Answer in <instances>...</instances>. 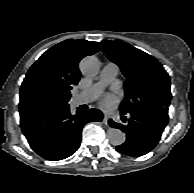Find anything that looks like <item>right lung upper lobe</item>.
<instances>
[{
    "label": "right lung upper lobe",
    "instance_id": "1",
    "mask_svg": "<svg viewBox=\"0 0 194 193\" xmlns=\"http://www.w3.org/2000/svg\"><path fill=\"white\" fill-rule=\"evenodd\" d=\"M100 44L86 40H65L47 50L29 69L20 90L19 107L48 94L71 95L80 80L78 63L95 54Z\"/></svg>",
    "mask_w": 194,
    "mask_h": 193
}]
</instances>
